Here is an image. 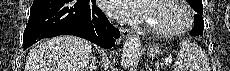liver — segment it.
I'll list each match as a JSON object with an SVG mask.
<instances>
[{
	"instance_id": "liver-1",
	"label": "liver",
	"mask_w": 230,
	"mask_h": 71,
	"mask_svg": "<svg viewBox=\"0 0 230 71\" xmlns=\"http://www.w3.org/2000/svg\"><path fill=\"white\" fill-rule=\"evenodd\" d=\"M91 54L90 42L82 38L54 37L30 49L25 71H84Z\"/></svg>"
}]
</instances>
